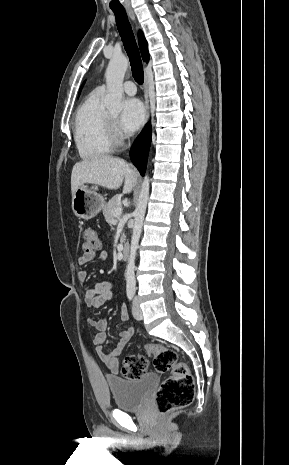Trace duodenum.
I'll return each mask as SVG.
<instances>
[{
  "mask_svg": "<svg viewBox=\"0 0 289 465\" xmlns=\"http://www.w3.org/2000/svg\"><path fill=\"white\" fill-rule=\"evenodd\" d=\"M130 248L128 245H124L121 250V257L123 260H127L129 258Z\"/></svg>",
  "mask_w": 289,
  "mask_h": 465,
  "instance_id": "1",
  "label": "duodenum"
}]
</instances>
